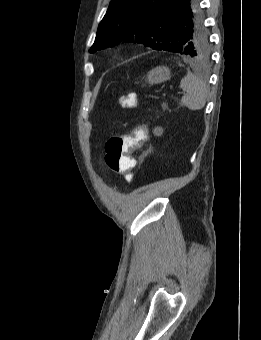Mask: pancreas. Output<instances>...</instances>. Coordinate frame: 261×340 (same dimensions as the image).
<instances>
[{"label":"pancreas","instance_id":"pancreas-1","mask_svg":"<svg viewBox=\"0 0 261 340\" xmlns=\"http://www.w3.org/2000/svg\"><path fill=\"white\" fill-rule=\"evenodd\" d=\"M162 108H163V110L168 109L167 104H166V103H163V104H162Z\"/></svg>","mask_w":261,"mask_h":340}]
</instances>
